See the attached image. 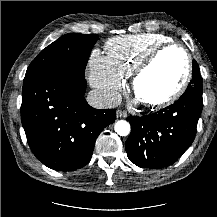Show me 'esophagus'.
I'll list each match as a JSON object with an SVG mask.
<instances>
[{
  "mask_svg": "<svg viewBox=\"0 0 217 217\" xmlns=\"http://www.w3.org/2000/svg\"><path fill=\"white\" fill-rule=\"evenodd\" d=\"M116 116H117V118H126L127 113L125 111H123V110H117Z\"/></svg>",
  "mask_w": 217,
  "mask_h": 217,
  "instance_id": "1",
  "label": "esophagus"
}]
</instances>
